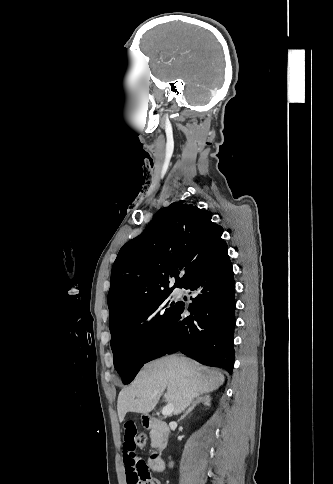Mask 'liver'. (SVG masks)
Returning a JSON list of instances; mask_svg holds the SVG:
<instances>
[{
  "mask_svg": "<svg viewBox=\"0 0 333 484\" xmlns=\"http://www.w3.org/2000/svg\"><path fill=\"white\" fill-rule=\"evenodd\" d=\"M223 382L222 373L188 358L167 356L152 361L144 365L131 385L120 391L119 421L122 423L128 412L148 414L165 390L164 402L172 404L176 414L181 413L194 398L217 390Z\"/></svg>",
  "mask_w": 333,
  "mask_h": 484,
  "instance_id": "liver-1",
  "label": "liver"
}]
</instances>
